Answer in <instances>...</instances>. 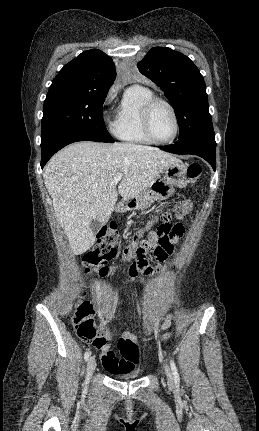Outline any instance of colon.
Wrapping results in <instances>:
<instances>
[{
  "instance_id": "5ec220e1",
  "label": "colon",
  "mask_w": 259,
  "mask_h": 431,
  "mask_svg": "<svg viewBox=\"0 0 259 431\" xmlns=\"http://www.w3.org/2000/svg\"><path fill=\"white\" fill-rule=\"evenodd\" d=\"M202 168L198 163H191L186 168V176L189 182H195L201 175ZM193 209V203L190 200L180 202L176 210L177 218H182V213H189ZM156 220H151L147 228L156 224ZM185 227L182 223H172L163 219L156 225V228L149 233L148 239H142L141 231H134L131 234V245L125 251L124 261L131 262L130 267L146 266L148 267V257H153L159 261L165 259L175 251V243L184 235ZM151 235V236H150ZM119 232L115 224L106 225L98 234V243L96 247L88 252L83 258V264L86 272L95 273L104 278L113 274L116 266H108L107 263L113 259L118 251ZM129 267V268H130ZM71 321L80 338L91 342L94 346L102 345L106 342L105 337L99 332L95 321V308L89 301H81L75 308ZM170 337L167 332L163 335V340ZM118 349L121 355L133 356L138 352L135 343L131 341L120 340ZM129 366H125V371H131Z\"/></svg>"
}]
</instances>
